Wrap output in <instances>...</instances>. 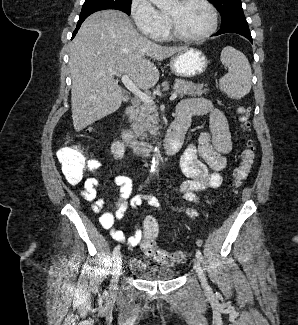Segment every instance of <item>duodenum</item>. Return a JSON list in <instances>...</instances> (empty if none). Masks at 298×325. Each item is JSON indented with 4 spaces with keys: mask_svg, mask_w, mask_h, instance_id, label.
I'll list each match as a JSON object with an SVG mask.
<instances>
[{
    "mask_svg": "<svg viewBox=\"0 0 298 325\" xmlns=\"http://www.w3.org/2000/svg\"><path fill=\"white\" fill-rule=\"evenodd\" d=\"M139 104L137 99H134L131 105L126 109L121 123V134L125 143L138 154H147L154 150V145L140 140L128 127L127 120L135 113ZM202 108L192 102L184 101L180 103L176 110V116L172 122L168 133L162 143V148L166 154L172 155L176 153L183 142L184 135L190 125L191 118L201 114Z\"/></svg>",
    "mask_w": 298,
    "mask_h": 325,
    "instance_id": "1",
    "label": "duodenum"
}]
</instances>
